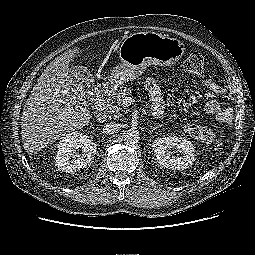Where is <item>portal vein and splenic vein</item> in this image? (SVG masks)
<instances>
[{
  "label": "portal vein and splenic vein",
  "mask_w": 255,
  "mask_h": 255,
  "mask_svg": "<svg viewBox=\"0 0 255 255\" xmlns=\"http://www.w3.org/2000/svg\"><path fill=\"white\" fill-rule=\"evenodd\" d=\"M133 103V99L131 97H125L122 101L123 107H129Z\"/></svg>",
  "instance_id": "1"
}]
</instances>
